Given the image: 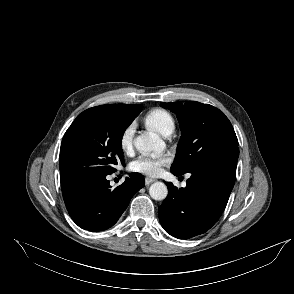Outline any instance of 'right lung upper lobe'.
Returning a JSON list of instances; mask_svg holds the SVG:
<instances>
[{"label": "right lung upper lobe", "mask_w": 294, "mask_h": 294, "mask_svg": "<svg viewBox=\"0 0 294 294\" xmlns=\"http://www.w3.org/2000/svg\"><path fill=\"white\" fill-rule=\"evenodd\" d=\"M125 110H132L139 106V104H112Z\"/></svg>", "instance_id": "obj_1"}]
</instances>
